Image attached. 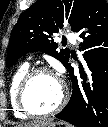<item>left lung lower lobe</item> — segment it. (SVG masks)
<instances>
[{
  "mask_svg": "<svg viewBox=\"0 0 108 127\" xmlns=\"http://www.w3.org/2000/svg\"><path fill=\"white\" fill-rule=\"evenodd\" d=\"M73 31L83 39L80 50L84 51L85 61L79 72L66 65L73 91L56 117L78 127H108V4L104 0H85ZM94 66L101 71L96 85L91 78Z\"/></svg>",
  "mask_w": 108,
  "mask_h": 127,
  "instance_id": "1",
  "label": "left lung lower lobe"
}]
</instances>
